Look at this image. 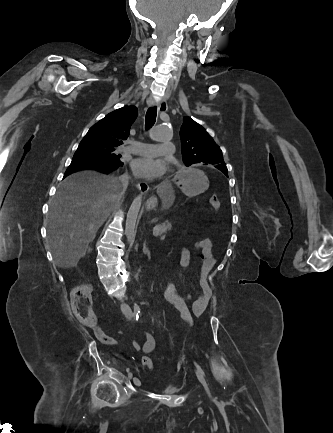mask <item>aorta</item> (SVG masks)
I'll use <instances>...</instances> for the list:
<instances>
[{"instance_id":"762f6f07","label":"aorta","mask_w":333,"mask_h":433,"mask_svg":"<svg viewBox=\"0 0 333 433\" xmlns=\"http://www.w3.org/2000/svg\"><path fill=\"white\" fill-rule=\"evenodd\" d=\"M150 138L155 142L168 143L173 139V133L169 126L159 125L151 129ZM141 204L142 195H139L134 199L127 213L125 235L130 245L134 242L136 220Z\"/></svg>"}]
</instances>
